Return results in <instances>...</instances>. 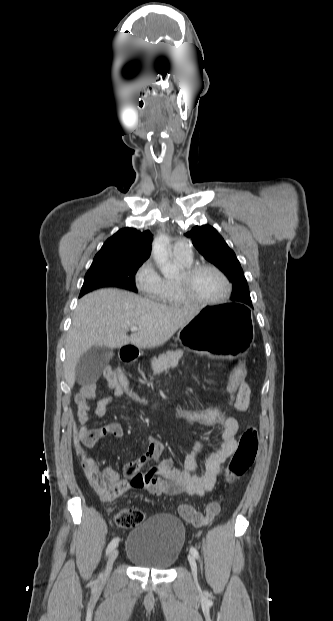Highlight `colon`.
<instances>
[{"mask_svg": "<svg viewBox=\"0 0 333 621\" xmlns=\"http://www.w3.org/2000/svg\"><path fill=\"white\" fill-rule=\"evenodd\" d=\"M106 377H113L121 388L123 395L141 406L160 409V405L137 390L120 369H108ZM246 378V367L243 362L233 369L227 383V393L230 405L234 407L235 398ZM171 413L189 423L220 427L226 417L230 415L220 408L189 409L173 407ZM78 430L75 428V448L81 459L86 479L90 486L103 500H109L116 492L114 481L100 468L97 462L84 449L83 443L77 439ZM258 432L255 427H248L242 434L238 447L234 452L226 471V481L233 482L244 476L253 465L258 451ZM220 512L217 502H210L203 513L191 505H182L179 509L181 517L195 527H201L212 521ZM144 520V513L139 509L125 508L115 516L116 524L121 528H131Z\"/></svg>", "mask_w": 333, "mask_h": 621, "instance_id": "colon-1", "label": "colon"}]
</instances>
